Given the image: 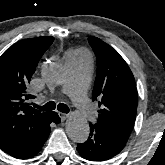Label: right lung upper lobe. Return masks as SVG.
I'll return each instance as SVG.
<instances>
[{"instance_id":"cb5924a9","label":"right lung upper lobe","mask_w":165,"mask_h":165,"mask_svg":"<svg viewBox=\"0 0 165 165\" xmlns=\"http://www.w3.org/2000/svg\"><path fill=\"white\" fill-rule=\"evenodd\" d=\"M51 36L22 40L0 57V148L41 127L52 112L29 106L27 86L36 66L50 47Z\"/></svg>"}]
</instances>
